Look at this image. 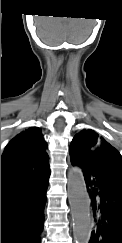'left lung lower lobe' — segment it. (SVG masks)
Listing matches in <instances>:
<instances>
[{"label":"left lung lower lobe","instance_id":"0a47b994","mask_svg":"<svg viewBox=\"0 0 122 243\" xmlns=\"http://www.w3.org/2000/svg\"><path fill=\"white\" fill-rule=\"evenodd\" d=\"M88 191L92 232L89 243H122V157L103 150L79 160Z\"/></svg>","mask_w":122,"mask_h":243}]
</instances>
